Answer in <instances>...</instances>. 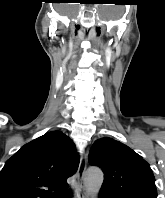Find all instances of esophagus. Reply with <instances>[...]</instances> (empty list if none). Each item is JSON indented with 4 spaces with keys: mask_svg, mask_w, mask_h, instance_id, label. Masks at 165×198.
<instances>
[{
    "mask_svg": "<svg viewBox=\"0 0 165 198\" xmlns=\"http://www.w3.org/2000/svg\"><path fill=\"white\" fill-rule=\"evenodd\" d=\"M87 165V156L83 154L80 158L79 167L77 170V183L74 188V198H87V194L84 188V175Z\"/></svg>",
    "mask_w": 165,
    "mask_h": 198,
    "instance_id": "obj_1",
    "label": "esophagus"
}]
</instances>
